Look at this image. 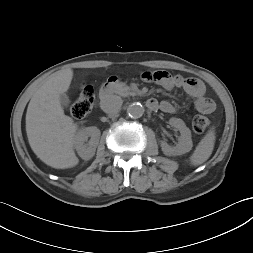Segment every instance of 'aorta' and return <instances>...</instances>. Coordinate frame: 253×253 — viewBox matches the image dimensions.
<instances>
[{"instance_id":"762f6f07","label":"aorta","mask_w":253,"mask_h":253,"mask_svg":"<svg viewBox=\"0 0 253 253\" xmlns=\"http://www.w3.org/2000/svg\"><path fill=\"white\" fill-rule=\"evenodd\" d=\"M144 107L139 102H133L127 107V114L131 118H140L144 114Z\"/></svg>"}]
</instances>
